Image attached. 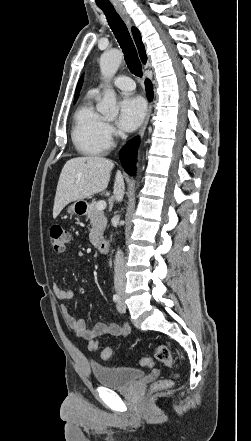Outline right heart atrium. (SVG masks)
I'll use <instances>...</instances> for the list:
<instances>
[{"label":"right heart atrium","instance_id":"1","mask_svg":"<svg viewBox=\"0 0 251 441\" xmlns=\"http://www.w3.org/2000/svg\"><path fill=\"white\" fill-rule=\"evenodd\" d=\"M106 134L110 140H112V138L115 135V130H114L113 126L109 123H106Z\"/></svg>","mask_w":251,"mask_h":441}]
</instances>
